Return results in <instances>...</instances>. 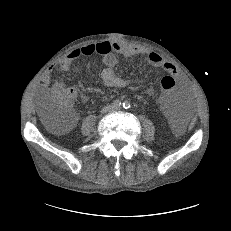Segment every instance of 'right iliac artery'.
Instances as JSON below:
<instances>
[{"mask_svg": "<svg viewBox=\"0 0 231 231\" xmlns=\"http://www.w3.org/2000/svg\"><path fill=\"white\" fill-rule=\"evenodd\" d=\"M121 105V102L119 101V100H115L114 102H113V106L114 107H119Z\"/></svg>", "mask_w": 231, "mask_h": 231, "instance_id": "1", "label": "right iliac artery"}]
</instances>
